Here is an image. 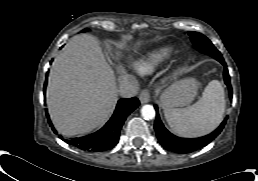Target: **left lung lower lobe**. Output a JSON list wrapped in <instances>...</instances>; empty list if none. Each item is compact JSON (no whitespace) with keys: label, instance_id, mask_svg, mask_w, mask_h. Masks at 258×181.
Segmentation results:
<instances>
[{"label":"left lung lower lobe","instance_id":"1","mask_svg":"<svg viewBox=\"0 0 258 181\" xmlns=\"http://www.w3.org/2000/svg\"><path fill=\"white\" fill-rule=\"evenodd\" d=\"M220 63L224 66V81L228 87L230 98H232V87L230 83V77L228 74L227 66L224 60H220ZM157 114L156 119L154 123V129L156 131L157 138L159 140V143L168 151H172L175 153H191L193 151H196L207 144H209L216 136H218L222 129L225 126L226 119L221 123V125L211 134L196 138V139H185L177 137L173 134H171L163 125L162 121L160 120L157 106L155 105Z\"/></svg>","mask_w":258,"mask_h":181}]
</instances>
